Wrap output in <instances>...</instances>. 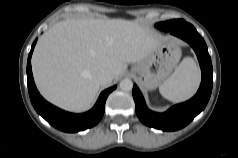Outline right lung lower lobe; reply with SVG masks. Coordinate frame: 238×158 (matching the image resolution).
Here are the masks:
<instances>
[{"label": "right lung lower lobe", "mask_w": 238, "mask_h": 158, "mask_svg": "<svg viewBox=\"0 0 238 158\" xmlns=\"http://www.w3.org/2000/svg\"><path fill=\"white\" fill-rule=\"evenodd\" d=\"M37 39L34 41L31 51L28 56L27 62V82L31 103L35 110L45 120H47L55 128L64 132H78L87 128L95 126L102 118L105 110V102L116 86L103 91L95 106L88 112L83 114H73L60 110L59 108L51 105L45 101L36 89L32 69H31V56L36 44Z\"/></svg>", "instance_id": "1"}]
</instances>
